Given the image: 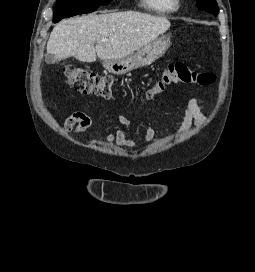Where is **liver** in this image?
<instances>
[{
	"label": "liver",
	"mask_w": 255,
	"mask_h": 272,
	"mask_svg": "<svg viewBox=\"0 0 255 272\" xmlns=\"http://www.w3.org/2000/svg\"><path fill=\"white\" fill-rule=\"evenodd\" d=\"M169 28L166 17L136 11L69 18L53 28L47 54H53L56 61L70 56L88 63L95 62L97 57L103 61L120 59Z\"/></svg>",
	"instance_id": "liver-1"
}]
</instances>
